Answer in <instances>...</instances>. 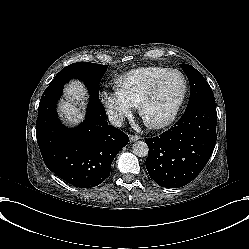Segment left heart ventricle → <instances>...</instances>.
Listing matches in <instances>:
<instances>
[{
  "mask_svg": "<svg viewBox=\"0 0 249 249\" xmlns=\"http://www.w3.org/2000/svg\"><path fill=\"white\" fill-rule=\"evenodd\" d=\"M181 90L182 84L179 77L172 76L158 91L155 98L145 107V117L151 121H162L166 119L174 109Z\"/></svg>",
  "mask_w": 249,
  "mask_h": 249,
  "instance_id": "obj_1",
  "label": "left heart ventricle"
}]
</instances>
